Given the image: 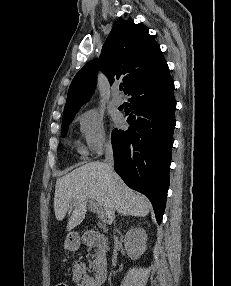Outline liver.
Returning <instances> with one entry per match:
<instances>
[{"label":"liver","instance_id":"1","mask_svg":"<svg viewBox=\"0 0 231 286\" xmlns=\"http://www.w3.org/2000/svg\"><path fill=\"white\" fill-rule=\"evenodd\" d=\"M88 199L103 207L109 223L112 222L115 211L123 215L144 217L151 209V203L144 195L127 187L114 171L109 173L103 162L87 163L57 179L54 195L56 219L63 220L75 203L67 231L83 221Z\"/></svg>","mask_w":231,"mask_h":286}]
</instances>
